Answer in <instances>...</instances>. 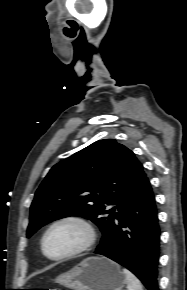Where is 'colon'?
Instances as JSON below:
<instances>
[{"label": "colon", "mask_w": 187, "mask_h": 290, "mask_svg": "<svg viewBox=\"0 0 187 290\" xmlns=\"http://www.w3.org/2000/svg\"><path fill=\"white\" fill-rule=\"evenodd\" d=\"M29 290H65V289H29Z\"/></svg>", "instance_id": "5ec220e1"}]
</instances>
